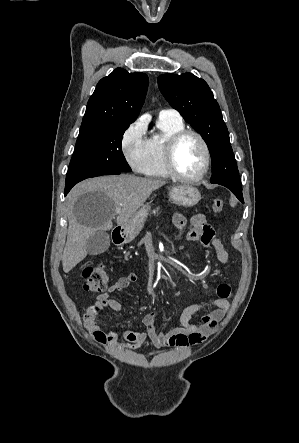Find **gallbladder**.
<instances>
[{"instance_id": "bac80fb5", "label": "gallbladder", "mask_w": 299, "mask_h": 443, "mask_svg": "<svg viewBox=\"0 0 299 443\" xmlns=\"http://www.w3.org/2000/svg\"><path fill=\"white\" fill-rule=\"evenodd\" d=\"M110 246L109 234L104 231H97L88 238L86 248L89 255H99L108 250Z\"/></svg>"}]
</instances>
